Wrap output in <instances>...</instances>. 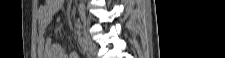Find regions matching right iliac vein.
<instances>
[{
	"label": "right iliac vein",
	"mask_w": 225,
	"mask_h": 58,
	"mask_svg": "<svg viewBox=\"0 0 225 58\" xmlns=\"http://www.w3.org/2000/svg\"><path fill=\"white\" fill-rule=\"evenodd\" d=\"M83 40L85 44V49L87 52H89L92 55H95L97 53V47L95 43L92 41V39L87 35V33L83 32Z\"/></svg>",
	"instance_id": "1"
}]
</instances>
